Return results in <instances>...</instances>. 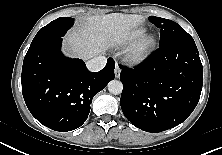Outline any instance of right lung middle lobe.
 <instances>
[{
  "label": "right lung middle lobe",
  "mask_w": 222,
  "mask_h": 155,
  "mask_svg": "<svg viewBox=\"0 0 222 155\" xmlns=\"http://www.w3.org/2000/svg\"><path fill=\"white\" fill-rule=\"evenodd\" d=\"M72 25L73 19L69 17H60L50 22L38 31L28 51L38 48L48 40L62 37Z\"/></svg>",
  "instance_id": "obj_1"
}]
</instances>
